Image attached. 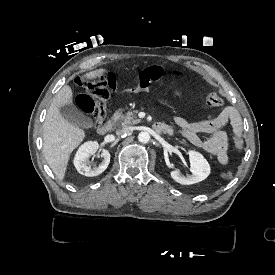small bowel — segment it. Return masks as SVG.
<instances>
[{"label": "small bowel", "mask_w": 275, "mask_h": 275, "mask_svg": "<svg viewBox=\"0 0 275 275\" xmlns=\"http://www.w3.org/2000/svg\"><path fill=\"white\" fill-rule=\"evenodd\" d=\"M161 77L162 70L159 67L150 66L145 68L139 78L140 85H129L127 92L129 94L147 92L150 82L152 80H159ZM106 78L108 79L109 95L111 97H121L126 94V89L121 87V81L115 69H108L106 71ZM163 78L166 81H190L193 78V71L190 68H166L163 71ZM173 122L193 146L214 156L221 165H226L229 161L228 139L222 128L227 123H230L235 137H240L242 131L241 116L238 110L232 106L225 107L211 120L192 122L184 117L174 116ZM168 127L170 128V134H172V126ZM200 133H211L212 136L203 140L199 137Z\"/></svg>", "instance_id": "1"}]
</instances>
